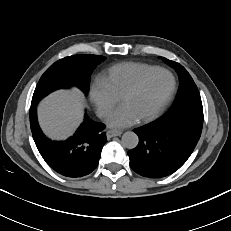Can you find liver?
Returning a JSON list of instances; mask_svg holds the SVG:
<instances>
[{
  "instance_id": "6515ba94",
  "label": "liver",
  "mask_w": 231,
  "mask_h": 231,
  "mask_svg": "<svg viewBox=\"0 0 231 231\" xmlns=\"http://www.w3.org/2000/svg\"><path fill=\"white\" fill-rule=\"evenodd\" d=\"M83 101L78 89L59 90L41 101L38 118L44 133L56 140L71 136L82 121Z\"/></svg>"
}]
</instances>
